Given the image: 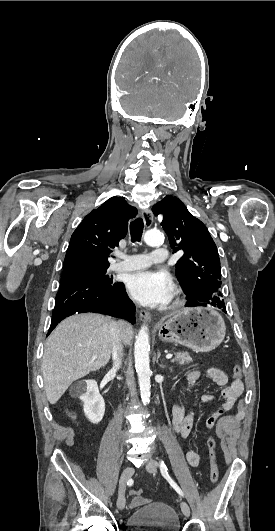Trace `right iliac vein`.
Wrapping results in <instances>:
<instances>
[{
  "label": "right iliac vein",
  "instance_id": "63e3f726",
  "mask_svg": "<svg viewBox=\"0 0 275 531\" xmlns=\"http://www.w3.org/2000/svg\"><path fill=\"white\" fill-rule=\"evenodd\" d=\"M133 474H134V468L131 466L126 467L121 474L120 481H119V495L117 499V507L120 510H123L126 505L124 491H125L127 482L131 479Z\"/></svg>",
  "mask_w": 275,
  "mask_h": 531
}]
</instances>
